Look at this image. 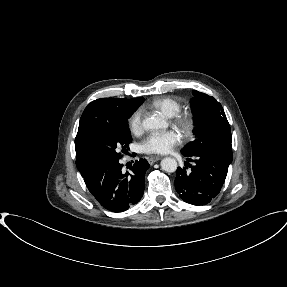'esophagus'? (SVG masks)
<instances>
[{
    "mask_svg": "<svg viewBox=\"0 0 287 287\" xmlns=\"http://www.w3.org/2000/svg\"><path fill=\"white\" fill-rule=\"evenodd\" d=\"M161 159V156H154L148 159V162L150 164H154L155 162L159 161Z\"/></svg>",
    "mask_w": 287,
    "mask_h": 287,
    "instance_id": "obj_1",
    "label": "esophagus"
}]
</instances>
